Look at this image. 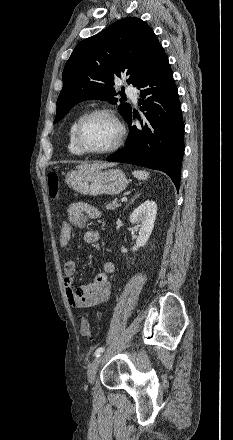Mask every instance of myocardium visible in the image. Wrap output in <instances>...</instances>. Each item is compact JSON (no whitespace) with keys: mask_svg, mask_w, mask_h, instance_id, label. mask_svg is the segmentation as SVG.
<instances>
[{"mask_svg":"<svg viewBox=\"0 0 233 440\" xmlns=\"http://www.w3.org/2000/svg\"><path fill=\"white\" fill-rule=\"evenodd\" d=\"M98 115H103V116H107L109 117L113 123L115 124L116 128H117V137L114 141V143L103 150H90L85 148L80 140V134H81V130L84 126V124L86 123V121L94 116H98ZM125 138V127L123 125V123L121 122V120L119 119L118 115L116 114V112L112 109L109 108H96L93 110H90L88 112H86L85 114H83L80 119L78 120L75 129H74V143L76 145V147L78 148V150L84 154V155H95V156H103V155H108L111 153H114L115 151H117L120 146L122 145L123 141Z\"/></svg>","mask_w":233,"mask_h":440,"instance_id":"f54148a6","label":"myocardium"}]
</instances>
